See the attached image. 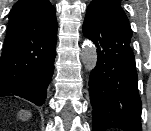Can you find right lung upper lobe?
Instances as JSON below:
<instances>
[{
  "label": "right lung upper lobe",
  "mask_w": 151,
  "mask_h": 131,
  "mask_svg": "<svg viewBox=\"0 0 151 131\" xmlns=\"http://www.w3.org/2000/svg\"><path fill=\"white\" fill-rule=\"evenodd\" d=\"M57 20L49 0H19L9 14L0 59V87L40 69L56 47Z\"/></svg>",
  "instance_id": "right-lung-upper-lobe-1"
}]
</instances>
